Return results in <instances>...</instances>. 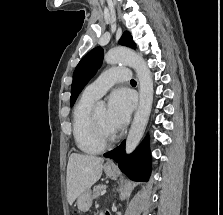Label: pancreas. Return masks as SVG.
Segmentation results:
<instances>
[{"label":"pancreas","mask_w":223,"mask_h":215,"mask_svg":"<svg viewBox=\"0 0 223 215\" xmlns=\"http://www.w3.org/2000/svg\"><path fill=\"white\" fill-rule=\"evenodd\" d=\"M105 187L106 185H103V183H100V185H94L93 191H92L94 199H97V197H99L100 191H102V189Z\"/></svg>","instance_id":"cf45deb5"}]
</instances>
